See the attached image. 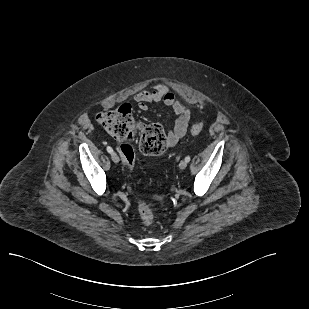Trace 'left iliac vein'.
Returning a JSON list of instances; mask_svg holds the SVG:
<instances>
[{"instance_id":"obj_1","label":"left iliac vein","mask_w":309,"mask_h":309,"mask_svg":"<svg viewBox=\"0 0 309 309\" xmlns=\"http://www.w3.org/2000/svg\"><path fill=\"white\" fill-rule=\"evenodd\" d=\"M187 167V161L186 160H181L179 163V168L181 170L185 169Z\"/></svg>"}]
</instances>
